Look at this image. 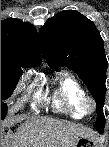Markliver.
<instances>
[{
  "mask_svg": "<svg viewBox=\"0 0 109 147\" xmlns=\"http://www.w3.org/2000/svg\"><path fill=\"white\" fill-rule=\"evenodd\" d=\"M80 137L97 139L89 128L53 118L32 117L22 123L5 147H75Z\"/></svg>",
  "mask_w": 109,
  "mask_h": 147,
  "instance_id": "1",
  "label": "liver"
}]
</instances>
